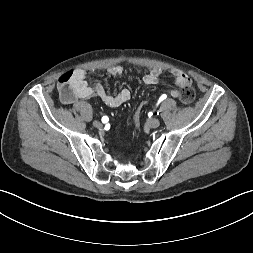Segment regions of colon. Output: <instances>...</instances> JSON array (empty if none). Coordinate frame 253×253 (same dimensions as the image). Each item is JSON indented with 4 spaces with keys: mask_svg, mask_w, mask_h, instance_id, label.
Segmentation results:
<instances>
[{
    "mask_svg": "<svg viewBox=\"0 0 253 253\" xmlns=\"http://www.w3.org/2000/svg\"><path fill=\"white\" fill-rule=\"evenodd\" d=\"M70 77H71L70 73L63 74L60 77L59 83H60V88H61L62 93H67V91H68V83H69ZM194 97H195V91H194V89L191 86H186V87H184V88H182L180 90V96H179V98H180V101L183 104H190L194 100ZM148 101L149 100L146 98L140 104L138 110L136 111V114H135V117L137 118L136 119V125L139 124V121H140L142 113H143V108L145 107V105H146V103Z\"/></svg>",
    "mask_w": 253,
    "mask_h": 253,
    "instance_id": "1",
    "label": "colon"
}]
</instances>
